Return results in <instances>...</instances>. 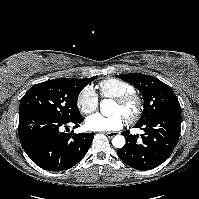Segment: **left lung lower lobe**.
I'll list each match as a JSON object with an SVG mask.
<instances>
[{"mask_svg": "<svg viewBox=\"0 0 199 199\" xmlns=\"http://www.w3.org/2000/svg\"><path fill=\"white\" fill-rule=\"evenodd\" d=\"M135 128L144 130L142 141L138 135L122 132L126 139L123 148L117 154L123 162L138 170H150L166 161L174 150L181 131V110L172 109L163 112Z\"/></svg>", "mask_w": 199, "mask_h": 199, "instance_id": "0a47b994", "label": "left lung lower lobe"}]
</instances>
